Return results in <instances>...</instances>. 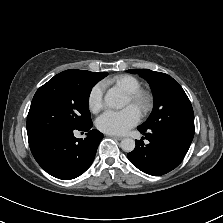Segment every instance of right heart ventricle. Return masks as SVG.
<instances>
[{"label": "right heart ventricle", "mask_w": 223, "mask_h": 223, "mask_svg": "<svg viewBox=\"0 0 223 223\" xmlns=\"http://www.w3.org/2000/svg\"><path fill=\"white\" fill-rule=\"evenodd\" d=\"M107 84H115L116 86H120L127 94L135 93L142 88L140 81L131 75L117 76L107 81Z\"/></svg>", "instance_id": "1"}]
</instances>
